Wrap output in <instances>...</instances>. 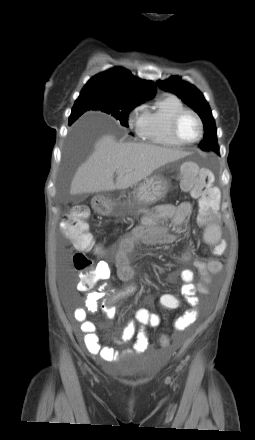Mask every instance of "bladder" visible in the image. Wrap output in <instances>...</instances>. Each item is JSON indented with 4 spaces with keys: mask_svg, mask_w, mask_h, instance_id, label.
I'll return each mask as SVG.
<instances>
[{
    "mask_svg": "<svg viewBox=\"0 0 255 440\" xmlns=\"http://www.w3.org/2000/svg\"><path fill=\"white\" fill-rule=\"evenodd\" d=\"M121 367L116 371V374L128 380H144L152 376L154 367L148 362L140 360L137 357H131L120 361Z\"/></svg>",
    "mask_w": 255,
    "mask_h": 440,
    "instance_id": "obj_1",
    "label": "bladder"
}]
</instances>
